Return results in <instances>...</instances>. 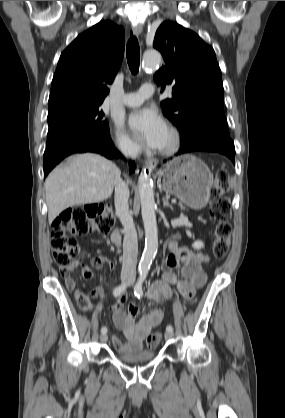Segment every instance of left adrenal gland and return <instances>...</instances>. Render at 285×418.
Here are the masks:
<instances>
[{"label": "left adrenal gland", "mask_w": 285, "mask_h": 418, "mask_svg": "<svg viewBox=\"0 0 285 418\" xmlns=\"http://www.w3.org/2000/svg\"><path fill=\"white\" fill-rule=\"evenodd\" d=\"M163 207H169L170 209L173 210L172 205L168 202V199L163 198Z\"/></svg>", "instance_id": "left-adrenal-gland-1"}]
</instances>
